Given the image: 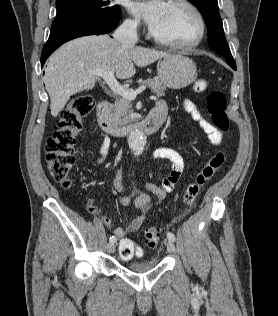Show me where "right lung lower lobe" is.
I'll list each match as a JSON object with an SVG mask.
<instances>
[{
  "label": "right lung lower lobe",
  "instance_id": "right-lung-lower-lobe-1",
  "mask_svg": "<svg viewBox=\"0 0 278 316\" xmlns=\"http://www.w3.org/2000/svg\"><path fill=\"white\" fill-rule=\"evenodd\" d=\"M119 19L120 13L110 18L93 17L52 27L49 39L42 50L41 66L63 43L81 36L108 33L117 26Z\"/></svg>",
  "mask_w": 278,
  "mask_h": 316
}]
</instances>
